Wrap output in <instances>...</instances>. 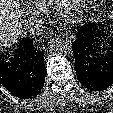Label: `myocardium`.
I'll use <instances>...</instances> for the list:
<instances>
[{"label": "myocardium", "instance_id": "myocardium-1", "mask_svg": "<svg viewBox=\"0 0 113 113\" xmlns=\"http://www.w3.org/2000/svg\"><path fill=\"white\" fill-rule=\"evenodd\" d=\"M86 0H59L56 5L58 16L65 22H76L81 19Z\"/></svg>", "mask_w": 113, "mask_h": 113}]
</instances>
